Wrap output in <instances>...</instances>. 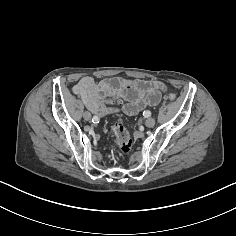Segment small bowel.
<instances>
[{
	"label": "small bowel",
	"mask_w": 236,
	"mask_h": 236,
	"mask_svg": "<svg viewBox=\"0 0 236 236\" xmlns=\"http://www.w3.org/2000/svg\"><path fill=\"white\" fill-rule=\"evenodd\" d=\"M164 90L163 83L153 80L115 77L96 82L91 76L82 77L73 87L74 93L97 117L115 111L102 104L101 100L106 97L124 100L121 110L135 115L146 106L157 104Z\"/></svg>",
	"instance_id": "c3829d8e"
}]
</instances>
